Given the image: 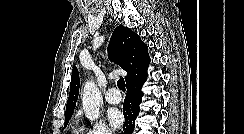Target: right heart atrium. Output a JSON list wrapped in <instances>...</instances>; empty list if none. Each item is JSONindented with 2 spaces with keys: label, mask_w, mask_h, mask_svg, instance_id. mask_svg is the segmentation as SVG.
<instances>
[{
  "label": "right heart atrium",
  "mask_w": 244,
  "mask_h": 134,
  "mask_svg": "<svg viewBox=\"0 0 244 134\" xmlns=\"http://www.w3.org/2000/svg\"><path fill=\"white\" fill-rule=\"evenodd\" d=\"M85 134H114L113 131L103 122L96 121L90 128H88Z\"/></svg>",
  "instance_id": "right-heart-atrium-1"
}]
</instances>
